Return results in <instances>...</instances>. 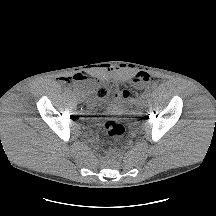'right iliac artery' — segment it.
Instances as JSON below:
<instances>
[{"mask_svg":"<svg viewBox=\"0 0 216 216\" xmlns=\"http://www.w3.org/2000/svg\"><path fill=\"white\" fill-rule=\"evenodd\" d=\"M71 92H72L73 94H74V93H75V94H77V93L79 94V92H78L77 90H74V89H73Z\"/></svg>","mask_w":216,"mask_h":216,"instance_id":"82829eb1","label":"right iliac artery"}]
</instances>
